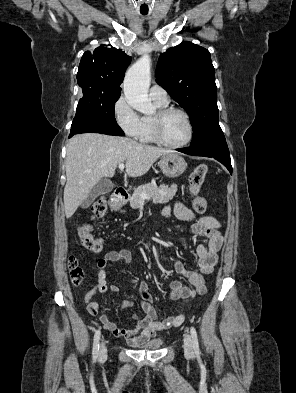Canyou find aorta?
<instances>
[{"mask_svg": "<svg viewBox=\"0 0 296 393\" xmlns=\"http://www.w3.org/2000/svg\"><path fill=\"white\" fill-rule=\"evenodd\" d=\"M151 80V60L141 57L126 72L123 89L125 99L135 110L143 114H151L154 107L148 97Z\"/></svg>", "mask_w": 296, "mask_h": 393, "instance_id": "obj_1", "label": "aorta"}]
</instances>
